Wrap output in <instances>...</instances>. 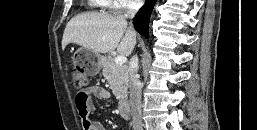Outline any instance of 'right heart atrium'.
I'll list each match as a JSON object with an SVG mask.
<instances>
[{"instance_id": "d8ad5b80", "label": "right heart atrium", "mask_w": 257, "mask_h": 130, "mask_svg": "<svg viewBox=\"0 0 257 130\" xmlns=\"http://www.w3.org/2000/svg\"><path fill=\"white\" fill-rule=\"evenodd\" d=\"M141 0H109V8L126 9L138 5Z\"/></svg>"}]
</instances>
